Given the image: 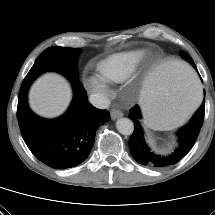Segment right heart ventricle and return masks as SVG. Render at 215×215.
<instances>
[{"label": "right heart ventricle", "mask_w": 215, "mask_h": 215, "mask_svg": "<svg viewBox=\"0 0 215 215\" xmlns=\"http://www.w3.org/2000/svg\"><path fill=\"white\" fill-rule=\"evenodd\" d=\"M145 57L143 50H129L112 54L97 65L99 75L109 82H123L139 67Z\"/></svg>", "instance_id": "obj_1"}]
</instances>
